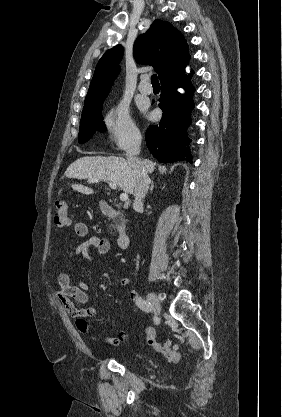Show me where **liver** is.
<instances>
[{"label": "liver", "instance_id": "liver-1", "mask_svg": "<svg viewBox=\"0 0 282 417\" xmlns=\"http://www.w3.org/2000/svg\"><path fill=\"white\" fill-rule=\"evenodd\" d=\"M145 164L148 172H153L155 162L144 158L141 160ZM65 176L68 178H99L106 182L118 184L124 192L133 194L136 186V164L125 160L123 156H82L74 160L65 170ZM73 190L83 192V194H92L93 188L84 186V184H72Z\"/></svg>", "mask_w": 282, "mask_h": 417}]
</instances>
